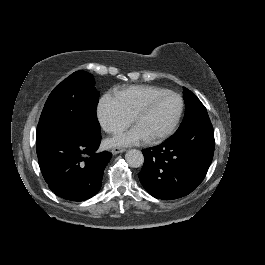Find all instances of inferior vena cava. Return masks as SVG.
Masks as SVG:
<instances>
[{
	"instance_id": "inferior-vena-cava-1",
	"label": "inferior vena cava",
	"mask_w": 265,
	"mask_h": 265,
	"mask_svg": "<svg viewBox=\"0 0 265 265\" xmlns=\"http://www.w3.org/2000/svg\"><path fill=\"white\" fill-rule=\"evenodd\" d=\"M120 129H121V127L117 124H114V123H109V124L105 125V130L109 133L121 131Z\"/></svg>"
}]
</instances>
